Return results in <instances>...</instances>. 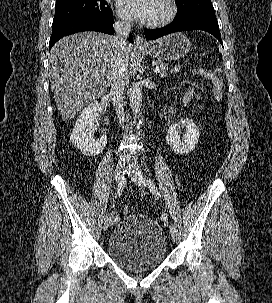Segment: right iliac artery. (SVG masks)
I'll return each mask as SVG.
<instances>
[{"label":"right iliac artery","mask_w":272,"mask_h":303,"mask_svg":"<svg viewBox=\"0 0 272 303\" xmlns=\"http://www.w3.org/2000/svg\"><path fill=\"white\" fill-rule=\"evenodd\" d=\"M123 188H124V186H123V181H122L118 184V187H117V190H116V193H115V198L119 197L122 194ZM109 214H110L109 210H106L105 213H103V218H102L103 221H105V222L108 221V219H109L108 215Z\"/></svg>","instance_id":"right-iliac-artery-1"}]
</instances>
